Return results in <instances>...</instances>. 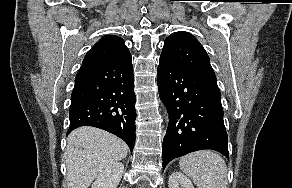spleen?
<instances>
[{
	"mask_svg": "<svg viewBox=\"0 0 292 188\" xmlns=\"http://www.w3.org/2000/svg\"><path fill=\"white\" fill-rule=\"evenodd\" d=\"M180 169L198 188H228L227 167L212 151H197L180 158Z\"/></svg>",
	"mask_w": 292,
	"mask_h": 188,
	"instance_id": "1",
	"label": "spleen"
}]
</instances>
